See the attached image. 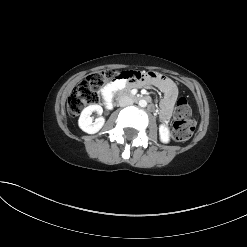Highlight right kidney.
<instances>
[{"mask_svg":"<svg viewBox=\"0 0 247 247\" xmlns=\"http://www.w3.org/2000/svg\"><path fill=\"white\" fill-rule=\"evenodd\" d=\"M95 111L99 115H101L103 109L100 105L97 104L89 105L88 107L83 109L78 120V125L80 129L88 134L97 133L105 123V119L103 117H98L95 119V122H93V119L92 117H90V115Z\"/></svg>","mask_w":247,"mask_h":247,"instance_id":"ca27d5eb","label":"right kidney"}]
</instances>
